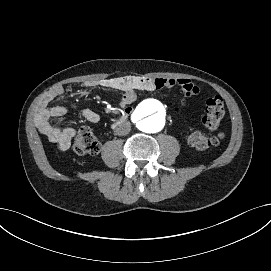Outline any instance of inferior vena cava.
<instances>
[{
	"label": "inferior vena cava",
	"instance_id": "obj_1",
	"mask_svg": "<svg viewBox=\"0 0 271 271\" xmlns=\"http://www.w3.org/2000/svg\"><path fill=\"white\" fill-rule=\"evenodd\" d=\"M114 131H115V133L117 135H120V136L121 135H125V134L129 133V131H130V125H129L128 122H119L116 125Z\"/></svg>",
	"mask_w": 271,
	"mask_h": 271
}]
</instances>
